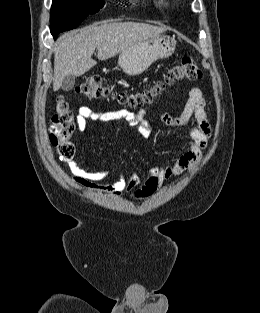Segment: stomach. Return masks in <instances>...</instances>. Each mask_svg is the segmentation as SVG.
<instances>
[{
  "label": "stomach",
  "instance_id": "obj_1",
  "mask_svg": "<svg viewBox=\"0 0 260 313\" xmlns=\"http://www.w3.org/2000/svg\"><path fill=\"white\" fill-rule=\"evenodd\" d=\"M175 48L176 41L172 37L160 34L122 51L118 63L127 75H139L154 61L171 56Z\"/></svg>",
  "mask_w": 260,
  "mask_h": 313
}]
</instances>
